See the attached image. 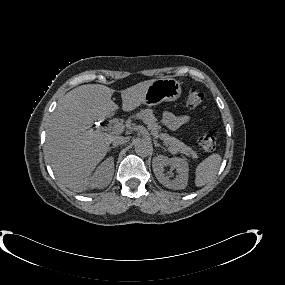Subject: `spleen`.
Instances as JSON below:
<instances>
[{
	"mask_svg": "<svg viewBox=\"0 0 285 285\" xmlns=\"http://www.w3.org/2000/svg\"><path fill=\"white\" fill-rule=\"evenodd\" d=\"M221 164V156L218 153L208 156L196 168L195 185L202 187L211 182Z\"/></svg>",
	"mask_w": 285,
	"mask_h": 285,
	"instance_id": "1",
	"label": "spleen"
}]
</instances>
